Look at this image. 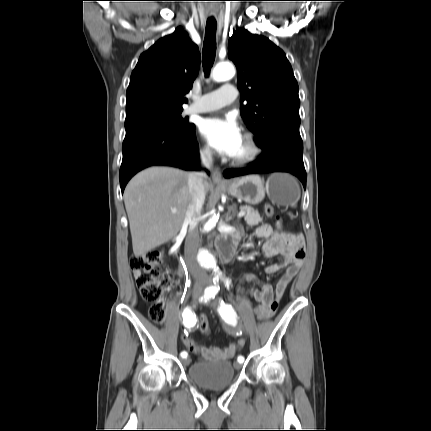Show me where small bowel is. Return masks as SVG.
Wrapping results in <instances>:
<instances>
[{"label":"small bowel","instance_id":"c3829d8e","mask_svg":"<svg viewBox=\"0 0 431 431\" xmlns=\"http://www.w3.org/2000/svg\"><path fill=\"white\" fill-rule=\"evenodd\" d=\"M255 235L259 238H266L263 247L265 257L270 258L281 255L283 261L266 267L268 274H275L282 269L285 272L277 282L275 287L261 281L254 274H245L242 283H256L257 288L247 290V293L258 302L256 306L260 310L259 319L271 317L277 310L279 302L284 295L288 284L297 274L305 259V248L302 237L288 232L274 230L269 224H263L255 230ZM205 311L203 309L198 310ZM195 349L191 352L202 361L228 360L232 358L237 350V342L228 347H205L196 343Z\"/></svg>","mask_w":431,"mask_h":431}]
</instances>
